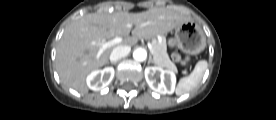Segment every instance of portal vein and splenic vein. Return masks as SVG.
<instances>
[{"label": "portal vein and splenic vein", "mask_w": 276, "mask_h": 120, "mask_svg": "<svg viewBox=\"0 0 276 120\" xmlns=\"http://www.w3.org/2000/svg\"><path fill=\"white\" fill-rule=\"evenodd\" d=\"M122 42V38L121 37H115L112 40L106 41V42H100L97 43V45L100 47L97 56L99 57L107 48L115 46L119 43ZM150 52H153V47L151 44L148 45Z\"/></svg>", "instance_id": "18ae733b"}]
</instances>
